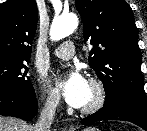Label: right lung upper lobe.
Segmentation results:
<instances>
[{
	"mask_svg": "<svg viewBox=\"0 0 147 131\" xmlns=\"http://www.w3.org/2000/svg\"><path fill=\"white\" fill-rule=\"evenodd\" d=\"M37 15L35 0H7L0 5V58L30 59Z\"/></svg>",
	"mask_w": 147,
	"mask_h": 131,
	"instance_id": "obj_1",
	"label": "right lung upper lobe"
}]
</instances>
